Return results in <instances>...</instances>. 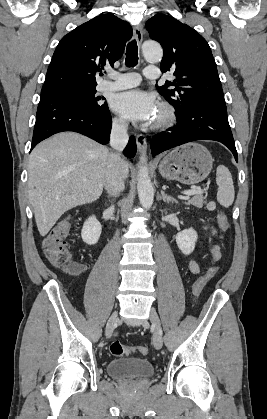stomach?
Here are the masks:
<instances>
[{"label": "stomach", "mask_w": 267, "mask_h": 419, "mask_svg": "<svg viewBox=\"0 0 267 419\" xmlns=\"http://www.w3.org/2000/svg\"><path fill=\"white\" fill-rule=\"evenodd\" d=\"M213 166V158L206 147L188 143L168 153L159 164L161 176L186 185L204 180Z\"/></svg>", "instance_id": "stomach-1"}]
</instances>
